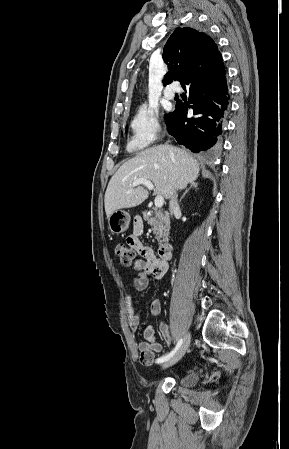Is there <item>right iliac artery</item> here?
I'll use <instances>...</instances> for the list:
<instances>
[{
	"label": "right iliac artery",
	"mask_w": 289,
	"mask_h": 449,
	"mask_svg": "<svg viewBox=\"0 0 289 449\" xmlns=\"http://www.w3.org/2000/svg\"><path fill=\"white\" fill-rule=\"evenodd\" d=\"M182 343H183V339H179L175 348L170 353L166 354L165 356L158 358L156 360V363H163V362L167 361L168 359H170L177 352V350L180 348Z\"/></svg>",
	"instance_id": "82829eb1"
}]
</instances>
